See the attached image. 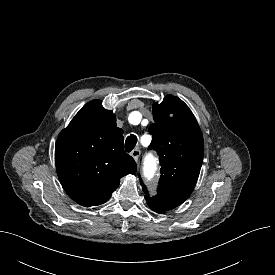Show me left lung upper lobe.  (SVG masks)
<instances>
[{
    "label": "left lung upper lobe",
    "instance_id": "left-lung-upper-lobe-1",
    "mask_svg": "<svg viewBox=\"0 0 275 275\" xmlns=\"http://www.w3.org/2000/svg\"><path fill=\"white\" fill-rule=\"evenodd\" d=\"M153 117L149 149L157 151L161 165L155 197L186 200L196 185L203 161L201 130L188 106L173 95L153 104ZM141 185L148 196L142 181Z\"/></svg>",
    "mask_w": 275,
    "mask_h": 275
}]
</instances>
